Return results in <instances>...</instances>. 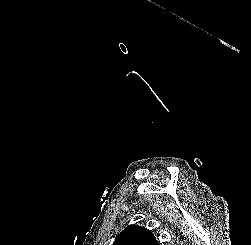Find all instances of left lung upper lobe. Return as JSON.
I'll return each mask as SVG.
<instances>
[{"label": "left lung upper lobe", "instance_id": "5c2ea615", "mask_svg": "<svg viewBox=\"0 0 251 245\" xmlns=\"http://www.w3.org/2000/svg\"><path fill=\"white\" fill-rule=\"evenodd\" d=\"M113 245H159V243L150 230L130 225L116 237Z\"/></svg>", "mask_w": 251, "mask_h": 245}]
</instances>
